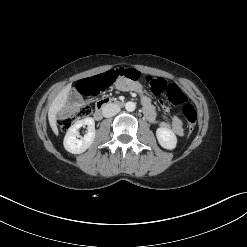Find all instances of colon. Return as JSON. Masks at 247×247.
Instances as JSON below:
<instances>
[{
    "label": "colon",
    "mask_w": 247,
    "mask_h": 247,
    "mask_svg": "<svg viewBox=\"0 0 247 247\" xmlns=\"http://www.w3.org/2000/svg\"><path fill=\"white\" fill-rule=\"evenodd\" d=\"M128 78L137 81L140 77L138 71L134 69L119 68L116 70H106L105 72L93 76H84L75 84V93L81 99H90L95 96L100 87L113 84L116 78ZM147 82L153 94L160 95L166 93L169 102L173 105H183L182 113L187 122L188 132L191 133L197 121V112L193 105L187 103L185 93L175 84H167L163 79L148 77ZM91 113L88 104H78L77 101L69 107L67 113L58 120L61 130H68L76 121L86 118Z\"/></svg>",
    "instance_id": "5ec220e1"
}]
</instances>
